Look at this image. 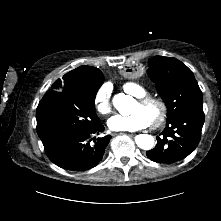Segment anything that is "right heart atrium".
<instances>
[{
  "instance_id": "d8ad5b80",
  "label": "right heart atrium",
  "mask_w": 221,
  "mask_h": 221,
  "mask_svg": "<svg viewBox=\"0 0 221 221\" xmlns=\"http://www.w3.org/2000/svg\"><path fill=\"white\" fill-rule=\"evenodd\" d=\"M94 105L103 116H108L112 112V90L109 84H103L97 89Z\"/></svg>"
}]
</instances>
